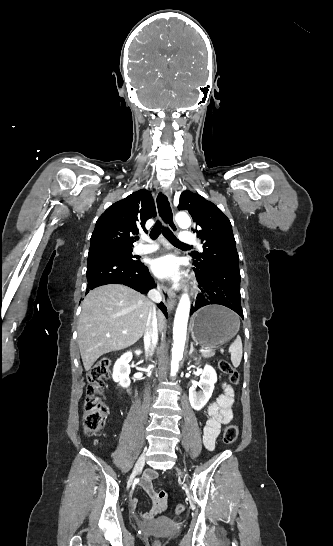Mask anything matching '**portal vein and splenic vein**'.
<instances>
[{"label":"portal vein and splenic vein","instance_id":"obj_1","mask_svg":"<svg viewBox=\"0 0 333 546\" xmlns=\"http://www.w3.org/2000/svg\"><path fill=\"white\" fill-rule=\"evenodd\" d=\"M123 333H126V332H123ZM200 352H201V353H206V352H208V350H202V349H200Z\"/></svg>","mask_w":333,"mask_h":546}]
</instances>
